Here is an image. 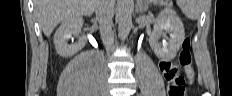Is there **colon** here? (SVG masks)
<instances>
[{
  "instance_id": "5ec220e1",
  "label": "colon",
  "mask_w": 232,
  "mask_h": 96,
  "mask_svg": "<svg viewBox=\"0 0 232 96\" xmlns=\"http://www.w3.org/2000/svg\"><path fill=\"white\" fill-rule=\"evenodd\" d=\"M191 41L185 38L182 43V48L179 53L178 59L172 63V68H162V72L169 83L168 95L169 96H183L185 91L186 79L181 72V69L190 68L192 57L190 52Z\"/></svg>"
}]
</instances>
